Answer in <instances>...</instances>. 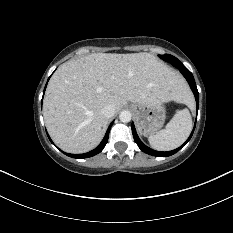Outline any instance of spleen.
Instances as JSON below:
<instances>
[{"label": "spleen", "instance_id": "3e777b00", "mask_svg": "<svg viewBox=\"0 0 233 233\" xmlns=\"http://www.w3.org/2000/svg\"><path fill=\"white\" fill-rule=\"evenodd\" d=\"M192 129V118L187 108L177 111L165 129L151 134L148 141L156 150L169 151L182 145Z\"/></svg>", "mask_w": 233, "mask_h": 233}]
</instances>
